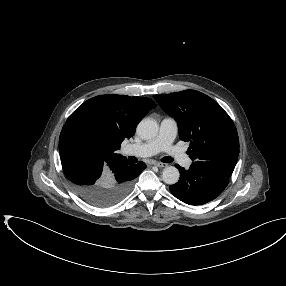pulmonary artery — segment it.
Masks as SVG:
<instances>
[{
  "mask_svg": "<svg viewBox=\"0 0 286 286\" xmlns=\"http://www.w3.org/2000/svg\"><path fill=\"white\" fill-rule=\"evenodd\" d=\"M177 132V121L172 117H165L161 120L158 134L153 139L128 146L126 153L137 157H150L164 151L181 166L189 167L191 164L190 158L173 145Z\"/></svg>",
  "mask_w": 286,
  "mask_h": 286,
  "instance_id": "obj_1",
  "label": "pulmonary artery"
}]
</instances>
